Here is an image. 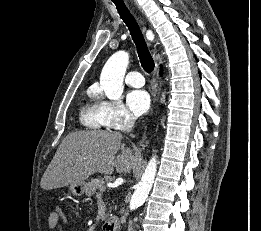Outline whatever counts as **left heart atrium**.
Segmentation results:
<instances>
[{
    "label": "left heart atrium",
    "mask_w": 261,
    "mask_h": 231,
    "mask_svg": "<svg viewBox=\"0 0 261 231\" xmlns=\"http://www.w3.org/2000/svg\"><path fill=\"white\" fill-rule=\"evenodd\" d=\"M127 105L135 115H142L150 108V96L144 90H133L127 95Z\"/></svg>",
    "instance_id": "39dd6f15"
}]
</instances>
